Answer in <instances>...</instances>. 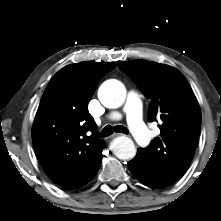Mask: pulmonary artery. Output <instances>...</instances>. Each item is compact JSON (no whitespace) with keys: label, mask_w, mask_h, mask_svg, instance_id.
<instances>
[{"label":"pulmonary artery","mask_w":221,"mask_h":221,"mask_svg":"<svg viewBox=\"0 0 221 221\" xmlns=\"http://www.w3.org/2000/svg\"><path fill=\"white\" fill-rule=\"evenodd\" d=\"M124 111L127 115L129 129L134 139L141 146H148L151 140V133L143 123L141 116L142 102L137 92L130 91L128 93ZM119 117L120 115L115 112L109 115V118L111 120H117L119 119Z\"/></svg>","instance_id":"e3ab8cb5"}]
</instances>
